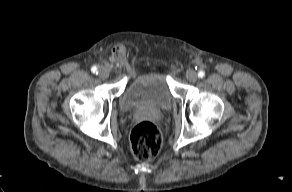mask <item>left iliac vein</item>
Segmentation results:
<instances>
[{
	"label": "left iliac vein",
	"instance_id": "left-iliac-vein-1",
	"mask_svg": "<svg viewBox=\"0 0 292 192\" xmlns=\"http://www.w3.org/2000/svg\"><path fill=\"white\" fill-rule=\"evenodd\" d=\"M186 78L190 81V82H196L198 75L194 70H188L186 72Z\"/></svg>",
	"mask_w": 292,
	"mask_h": 192
}]
</instances>
